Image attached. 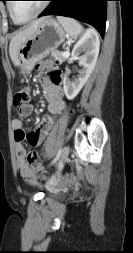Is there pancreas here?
<instances>
[{
	"label": "pancreas",
	"instance_id": "cf45deb5",
	"mask_svg": "<svg viewBox=\"0 0 133 253\" xmlns=\"http://www.w3.org/2000/svg\"><path fill=\"white\" fill-rule=\"evenodd\" d=\"M51 57L58 60L59 62H62L66 59V57L63 56V53L56 50L51 52Z\"/></svg>",
	"mask_w": 133,
	"mask_h": 253
}]
</instances>
